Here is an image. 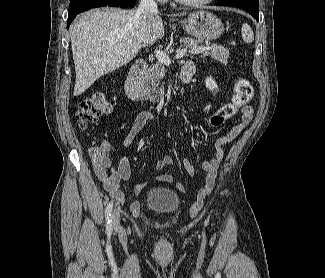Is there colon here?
Wrapping results in <instances>:
<instances>
[{"label":"colon","mask_w":325,"mask_h":278,"mask_svg":"<svg viewBox=\"0 0 325 278\" xmlns=\"http://www.w3.org/2000/svg\"><path fill=\"white\" fill-rule=\"evenodd\" d=\"M253 96V86L245 78H239L234 85L233 100L217 110L208 121L210 127H218L231 118L237 109L246 104ZM112 110V103L101 94H96L89 98H84L79 102L76 112V119L81 128H88L96 122L103 114ZM107 151L105 145L94 146L90 149V154L95 162H99ZM199 209V204L195 210Z\"/></svg>","instance_id":"obj_1"}]
</instances>
